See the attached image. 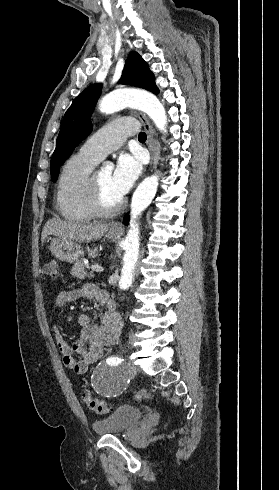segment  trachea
Instances as JSON below:
<instances>
[{
  "label": "trachea",
  "mask_w": 279,
  "mask_h": 490,
  "mask_svg": "<svg viewBox=\"0 0 279 490\" xmlns=\"http://www.w3.org/2000/svg\"><path fill=\"white\" fill-rule=\"evenodd\" d=\"M138 139H139V142H144L146 140V134L144 132H140Z\"/></svg>",
  "instance_id": "obj_1"
}]
</instances>
